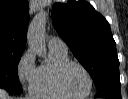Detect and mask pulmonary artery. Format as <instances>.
<instances>
[{
	"label": "pulmonary artery",
	"instance_id": "1",
	"mask_svg": "<svg viewBox=\"0 0 128 99\" xmlns=\"http://www.w3.org/2000/svg\"><path fill=\"white\" fill-rule=\"evenodd\" d=\"M48 47L62 52H67L68 49L66 43L58 37H51L48 42Z\"/></svg>",
	"mask_w": 128,
	"mask_h": 99
}]
</instances>
